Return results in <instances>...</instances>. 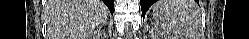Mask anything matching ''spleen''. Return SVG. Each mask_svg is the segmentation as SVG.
Masks as SVG:
<instances>
[{
    "label": "spleen",
    "instance_id": "1",
    "mask_svg": "<svg viewBox=\"0 0 249 39\" xmlns=\"http://www.w3.org/2000/svg\"><path fill=\"white\" fill-rule=\"evenodd\" d=\"M153 17L164 31L185 39H199L202 34L200 9L194 0H159L153 6Z\"/></svg>",
    "mask_w": 249,
    "mask_h": 39
}]
</instances>
